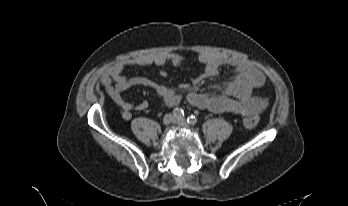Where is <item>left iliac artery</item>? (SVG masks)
<instances>
[{
  "mask_svg": "<svg viewBox=\"0 0 348 206\" xmlns=\"http://www.w3.org/2000/svg\"><path fill=\"white\" fill-rule=\"evenodd\" d=\"M198 119L195 115H190L188 118H187V122L190 124V125H195L197 123Z\"/></svg>",
  "mask_w": 348,
  "mask_h": 206,
  "instance_id": "left-iliac-artery-1",
  "label": "left iliac artery"
}]
</instances>
